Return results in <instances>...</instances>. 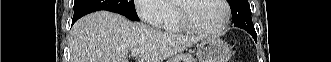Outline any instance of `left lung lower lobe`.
I'll return each mask as SVG.
<instances>
[{"label":"left lung lower lobe","mask_w":331,"mask_h":62,"mask_svg":"<svg viewBox=\"0 0 331 62\" xmlns=\"http://www.w3.org/2000/svg\"><path fill=\"white\" fill-rule=\"evenodd\" d=\"M254 39L257 40V35H255Z\"/></svg>","instance_id":"1"}]
</instances>
